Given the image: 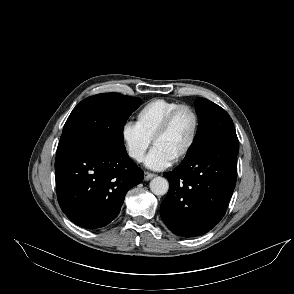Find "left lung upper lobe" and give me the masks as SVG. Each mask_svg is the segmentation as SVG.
<instances>
[{
  "instance_id": "left-lung-upper-lobe-1",
  "label": "left lung upper lobe",
  "mask_w": 294,
  "mask_h": 294,
  "mask_svg": "<svg viewBox=\"0 0 294 294\" xmlns=\"http://www.w3.org/2000/svg\"><path fill=\"white\" fill-rule=\"evenodd\" d=\"M195 107L199 117V125L186 157L193 153L198 144L204 141L224 133H236L231 117L217 104L205 98H198L195 101Z\"/></svg>"
}]
</instances>
